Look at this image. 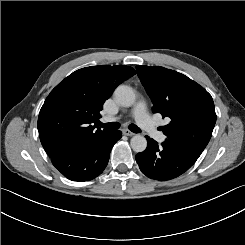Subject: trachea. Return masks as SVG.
<instances>
[{
    "label": "trachea",
    "instance_id": "3493384b",
    "mask_svg": "<svg viewBox=\"0 0 245 245\" xmlns=\"http://www.w3.org/2000/svg\"><path fill=\"white\" fill-rule=\"evenodd\" d=\"M99 126L105 128V129H119L120 128V123L119 122H111V123H101L99 122ZM128 129L132 131L133 133H139L141 130L138 128L135 124L131 123L128 126Z\"/></svg>",
    "mask_w": 245,
    "mask_h": 245
}]
</instances>
